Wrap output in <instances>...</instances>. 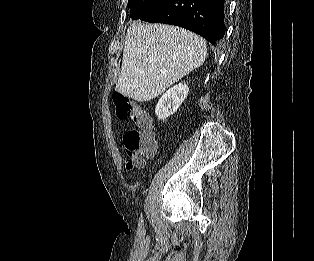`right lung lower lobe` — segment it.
Returning a JSON list of instances; mask_svg holds the SVG:
<instances>
[{
  "label": "right lung lower lobe",
  "mask_w": 314,
  "mask_h": 261,
  "mask_svg": "<svg viewBox=\"0 0 314 261\" xmlns=\"http://www.w3.org/2000/svg\"><path fill=\"white\" fill-rule=\"evenodd\" d=\"M224 15L225 0H167L142 20L186 28L216 45L225 34Z\"/></svg>",
  "instance_id": "1"
}]
</instances>
